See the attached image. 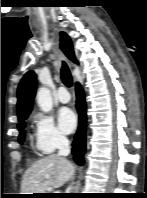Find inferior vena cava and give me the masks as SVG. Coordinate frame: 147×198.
Here are the masks:
<instances>
[{"label": "inferior vena cava", "instance_id": "1", "mask_svg": "<svg viewBox=\"0 0 147 198\" xmlns=\"http://www.w3.org/2000/svg\"><path fill=\"white\" fill-rule=\"evenodd\" d=\"M57 147H58V150H59L58 151L59 156L66 157V156L69 155L70 145H69V140L66 137L60 136L58 138ZM67 190L69 191L70 187Z\"/></svg>", "mask_w": 147, "mask_h": 198}]
</instances>
